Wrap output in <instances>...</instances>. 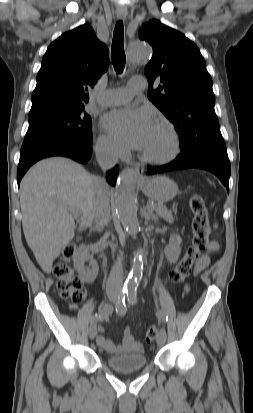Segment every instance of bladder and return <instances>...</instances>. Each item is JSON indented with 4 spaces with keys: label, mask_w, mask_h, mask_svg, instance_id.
Instances as JSON below:
<instances>
[{
    "label": "bladder",
    "mask_w": 253,
    "mask_h": 413,
    "mask_svg": "<svg viewBox=\"0 0 253 413\" xmlns=\"http://www.w3.org/2000/svg\"><path fill=\"white\" fill-rule=\"evenodd\" d=\"M106 362L108 366L119 372H129L140 370L147 365V357L144 352H131L107 357Z\"/></svg>",
    "instance_id": "obj_1"
}]
</instances>
